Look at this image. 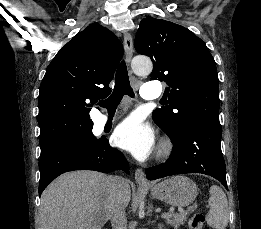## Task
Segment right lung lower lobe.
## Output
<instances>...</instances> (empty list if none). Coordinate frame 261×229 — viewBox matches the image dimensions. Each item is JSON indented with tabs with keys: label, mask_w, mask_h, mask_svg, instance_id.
Masks as SVG:
<instances>
[{
	"label": "right lung lower lobe",
	"mask_w": 261,
	"mask_h": 229,
	"mask_svg": "<svg viewBox=\"0 0 261 229\" xmlns=\"http://www.w3.org/2000/svg\"><path fill=\"white\" fill-rule=\"evenodd\" d=\"M128 172L129 168L120 151L113 149L106 138L95 145H63L39 161V196L48 184L60 174L74 170H93L109 173L116 169Z\"/></svg>",
	"instance_id": "1"
}]
</instances>
